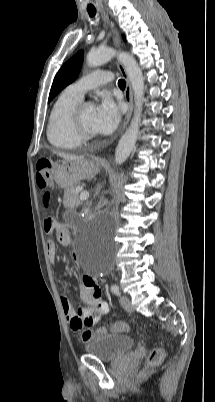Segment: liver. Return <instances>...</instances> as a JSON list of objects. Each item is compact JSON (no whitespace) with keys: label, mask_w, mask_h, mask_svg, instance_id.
<instances>
[{"label":"liver","mask_w":215,"mask_h":402,"mask_svg":"<svg viewBox=\"0 0 215 402\" xmlns=\"http://www.w3.org/2000/svg\"><path fill=\"white\" fill-rule=\"evenodd\" d=\"M56 154L58 156L62 157L64 160H68V161L77 160V159L81 158V157L76 156V155H69V154L58 153V152H56Z\"/></svg>","instance_id":"obj_1"}]
</instances>
